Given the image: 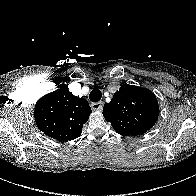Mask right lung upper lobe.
<instances>
[{"mask_svg":"<svg viewBox=\"0 0 196 196\" xmlns=\"http://www.w3.org/2000/svg\"><path fill=\"white\" fill-rule=\"evenodd\" d=\"M91 112L87 100L74 96L63 86L38 100L34 118L45 135L58 141H70L81 135Z\"/></svg>","mask_w":196,"mask_h":196,"instance_id":"right-lung-upper-lobe-1","label":"right lung upper lobe"}]
</instances>
